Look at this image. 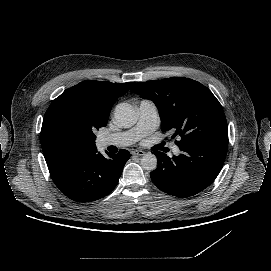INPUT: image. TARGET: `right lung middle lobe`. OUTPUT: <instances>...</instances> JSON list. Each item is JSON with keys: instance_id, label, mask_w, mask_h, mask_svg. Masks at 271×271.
<instances>
[{"instance_id": "1", "label": "right lung middle lobe", "mask_w": 271, "mask_h": 271, "mask_svg": "<svg viewBox=\"0 0 271 271\" xmlns=\"http://www.w3.org/2000/svg\"><path fill=\"white\" fill-rule=\"evenodd\" d=\"M96 129L99 128L78 115L72 102L62 101L45 113L41 129L42 150L57 153L95 147Z\"/></svg>"}]
</instances>
